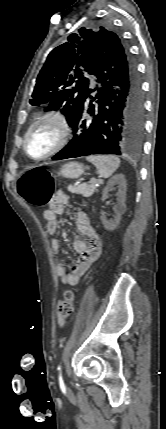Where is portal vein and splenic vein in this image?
<instances>
[{"mask_svg": "<svg viewBox=\"0 0 166 429\" xmlns=\"http://www.w3.org/2000/svg\"><path fill=\"white\" fill-rule=\"evenodd\" d=\"M90 182H91L92 184L97 185V180H96V179H94V178H92Z\"/></svg>", "mask_w": 166, "mask_h": 429, "instance_id": "obj_1", "label": "portal vein and splenic vein"}]
</instances>
